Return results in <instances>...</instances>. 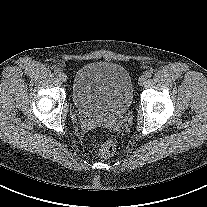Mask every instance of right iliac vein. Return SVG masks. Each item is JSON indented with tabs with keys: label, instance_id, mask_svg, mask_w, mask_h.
I'll use <instances>...</instances> for the list:
<instances>
[{
	"label": "right iliac vein",
	"instance_id": "obj_1",
	"mask_svg": "<svg viewBox=\"0 0 207 207\" xmlns=\"http://www.w3.org/2000/svg\"><path fill=\"white\" fill-rule=\"evenodd\" d=\"M59 79L62 81V82H66L67 81V75L63 72H61L59 74Z\"/></svg>",
	"mask_w": 207,
	"mask_h": 207
}]
</instances>
